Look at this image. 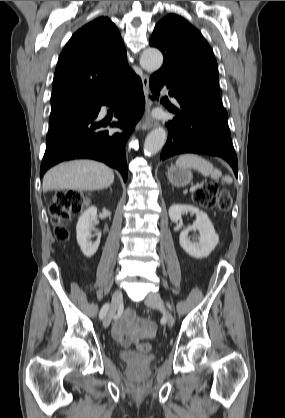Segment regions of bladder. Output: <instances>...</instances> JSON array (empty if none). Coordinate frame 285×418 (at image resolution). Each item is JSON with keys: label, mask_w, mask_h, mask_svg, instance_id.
Returning <instances> with one entry per match:
<instances>
[{"label": "bladder", "mask_w": 285, "mask_h": 418, "mask_svg": "<svg viewBox=\"0 0 285 418\" xmlns=\"http://www.w3.org/2000/svg\"><path fill=\"white\" fill-rule=\"evenodd\" d=\"M120 357L124 362L132 365H145L154 359L152 354L139 353L134 349H126L121 351Z\"/></svg>", "instance_id": "1"}]
</instances>
